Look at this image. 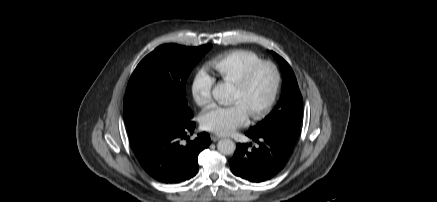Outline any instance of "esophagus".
<instances>
[{
    "label": "esophagus",
    "instance_id": "esophagus-1",
    "mask_svg": "<svg viewBox=\"0 0 437 202\" xmlns=\"http://www.w3.org/2000/svg\"><path fill=\"white\" fill-rule=\"evenodd\" d=\"M220 139H221L220 136H217V135H215V134H212V135H211V140H212L213 142H216V141H218V140H220Z\"/></svg>",
    "mask_w": 437,
    "mask_h": 202
}]
</instances>
